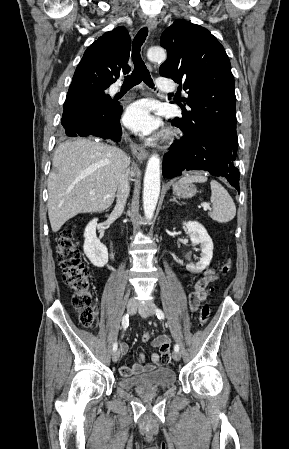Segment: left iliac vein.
Segmentation results:
<instances>
[{
    "instance_id": "left-iliac-vein-1",
    "label": "left iliac vein",
    "mask_w": 289,
    "mask_h": 449,
    "mask_svg": "<svg viewBox=\"0 0 289 449\" xmlns=\"http://www.w3.org/2000/svg\"><path fill=\"white\" fill-rule=\"evenodd\" d=\"M138 311L139 314L143 317V318H147L149 316H152L155 314V308L154 305L152 304H146L144 306L139 305L138 306ZM172 357L175 361H179L181 359V354L179 351H173Z\"/></svg>"
}]
</instances>
